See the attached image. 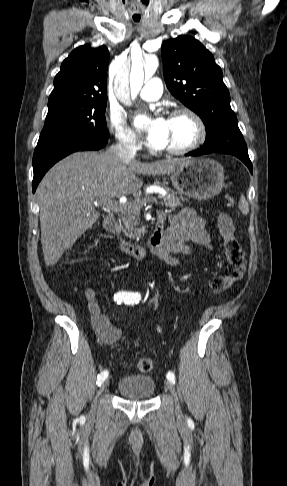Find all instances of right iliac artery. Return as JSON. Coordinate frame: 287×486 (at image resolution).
I'll return each instance as SVG.
<instances>
[{
  "label": "right iliac artery",
  "mask_w": 287,
  "mask_h": 486,
  "mask_svg": "<svg viewBox=\"0 0 287 486\" xmlns=\"http://www.w3.org/2000/svg\"><path fill=\"white\" fill-rule=\"evenodd\" d=\"M135 297H138L139 300L141 298L140 294L135 293V292H127V291H119L114 295V301L117 302V304H121L124 302L127 304V301L130 299H134ZM139 302V301H138ZM108 371H102L98 377H97V385L100 386L102 382L105 381V379L108 377Z\"/></svg>",
  "instance_id": "82829eb1"
}]
</instances>
